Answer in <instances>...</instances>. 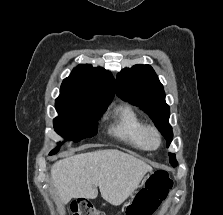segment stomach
I'll list each match as a JSON object with an SVG mask.
<instances>
[{"label":"stomach","instance_id":"stomach-1","mask_svg":"<svg viewBox=\"0 0 223 215\" xmlns=\"http://www.w3.org/2000/svg\"><path fill=\"white\" fill-rule=\"evenodd\" d=\"M152 177H153L152 173H148V175H144L143 179H152ZM140 187H141V189H139V190H147L148 189V187H146L145 184H141ZM136 193H138V191H136ZM130 201H131V199H130Z\"/></svg>","mask_w":223,"mask_h":215}]
</instances>
